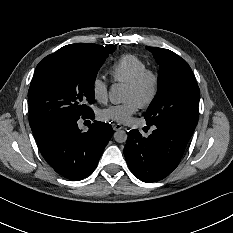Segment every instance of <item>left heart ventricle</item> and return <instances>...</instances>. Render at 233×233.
Masks as SVG:
<instances>
[{
	"label": "left heart ventricle",
	"instance_id": "b2bd125f",
	"mask_svg": "<svg viewBox=\"0 0 233 233\" xmlns=\"http://www.w3.org/2000/svg\"><path fill=\"white\" fill-rule=\"evenodd\" d=\"M150 84V80H147L140 89L134 90L126 87L125 100L135 99L142 104L149 93Z\"/></svg>",
	"mask_w": 233,
	"mask_h": 233
}]
</instances>
